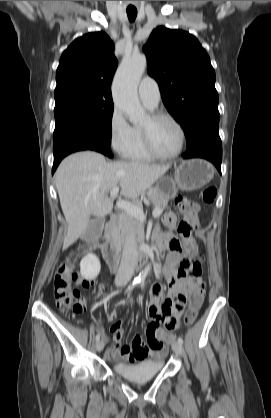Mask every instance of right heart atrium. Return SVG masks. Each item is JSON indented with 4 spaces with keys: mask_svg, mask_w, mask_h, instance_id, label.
I'll use <instances>...</instances> for the list:
<instances>
[{
    "mask_svg": "<svg viewBox=\"0 0 271 418\" xmlns=\"http://www.w3.org/2000/svg\"><path fill=\"white\" fill-rule=\"evenodd\" d=\"M132 138V127L127 122L123 112L114 107L109 118V140L113 150L124 155L130 145Z\"/></svg>",
    "mask_w": 271,
    "mask_h": 418,
    "instance_id": "d8ad5b80",
    "label": "right heart atrium"
}]
</instances>
